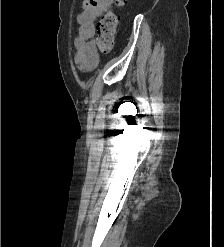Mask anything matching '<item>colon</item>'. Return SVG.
Instances as JSON below:
<instances>
[{"label":"colon","mask_w":224,"mask_h":247,"mask_svg":"<svg viewBox=\"0 0 224 247\" xmlns=\"http://www.w3.org/2000/svg\"><path fill=\"white\" fill-rule=\"evenodd\" d=\"M126 0H116L117 6L124 5ZM118 24L116 12L109 11L103 15L97 24L96 45L102 53H108L114 46L115 33Z\"/></svg>","instance_id":"obj_1"}]
</instances>
